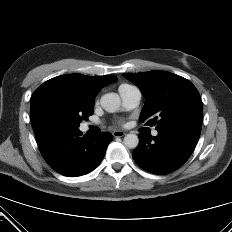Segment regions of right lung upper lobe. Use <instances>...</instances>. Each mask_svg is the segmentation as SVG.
I'll use <instances>...</instances> for the list:
<instances>
[{
	"mask_svg": "<svg viewBox=\"0 0 232 232\" xmlns=\"http://www.w3.org/2000/svg\"><path fill=\"white\" fill-rule=\"evenodd\" d=\"M117 80L116 76H86L83 74H68L54 77L43 83L36 91L53 85H68L79 88L87 99L94 102L99 90Z\"/></svg>",
	"mask_w": 232,
	"mask_h": 232,
	"instance_id": "obj_1",
	"label": "right lung upper lobe"
}]
</instances>
